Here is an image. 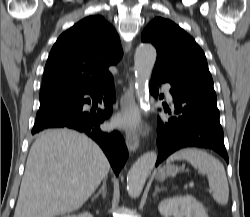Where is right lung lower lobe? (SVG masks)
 <instances>
[{
    "label": "right lung lower lobe",
    "instance_id": "right-lung-lower-lobe-1",
    "mask_svg": "<svg viewBox=\"0 0 250 217\" xmlns=\"http://www.w3.org/2000/svg\"><path fill=\"white\" fill-rule=\"evenodd\" d=\"M86 95L93 101L101 102L103 99L105 110H98L96 113L84 111L83 105L90 104V99L84 97ZM115 99L114 81L110 78L89 91L62 100L60 106L36 119L32 134L48 128H70L85 133L99 144L118 176L128 157L127 148L119 132L100 130V123L112 113V103Z\"/></svg>",
    "mask_w": 250,
    "mask_h": 217
}]
</instances>
